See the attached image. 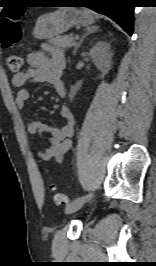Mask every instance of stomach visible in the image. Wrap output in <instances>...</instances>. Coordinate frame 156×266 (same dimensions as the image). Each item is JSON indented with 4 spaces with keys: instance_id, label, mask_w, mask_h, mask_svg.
Segmentation results:
<instances>
[{
    "instance_id": "1",
    "label": "stomach",
    "mask_w": 156,
    "mask_h": 266,
    "mask_svg": "<svg viewBox=\"0 0 156 266\" xmlns=\"http://www.w3.org/2000/svg\"><path fill=\"white\" fill-rule=\"evenodd\" d=\"M94 23L93 14L86 9L59 8L53 13L40 16L33 30L38 39H51L69 30L73 25L89 26Z\"/></svg>"
}]
</instances>
